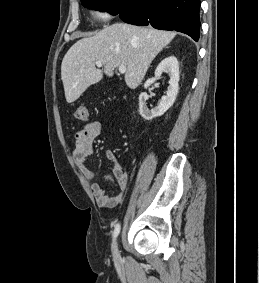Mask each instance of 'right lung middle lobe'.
Instances as JSON below:
<instances>
[{
	"mask_svg": "<svg viewBox=\"0 0 259 283\" xmlns=\"http://www.w3.org/2000/svg\"><path fill=\"white\" fill-rule=\"evenodd\" d=\"M81 2L84 6L101 9L102 11L108 10L112 14H117L120 0H81Z\"/></svg>",
	"mask_w": 259,
	"mask_h": 283,
	"instance_id": "obj_1",
	"label": "right lung middle lobe"
}]
</instances>
